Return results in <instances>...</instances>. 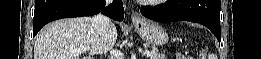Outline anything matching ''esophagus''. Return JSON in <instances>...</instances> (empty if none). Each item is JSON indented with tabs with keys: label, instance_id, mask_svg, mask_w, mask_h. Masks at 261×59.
Wrapping results in <instances>:
<instances>
[{
	"label": "esophagus",
	"instance_id": "obj_1",
	"mask_svg": "<svg viewBox=\"0 0 261 59\" xmlns=\"http://www.w3.org/2000/svg\"><path fill=\"white\" fill-rule=\"evenodd\" d=\"M131 20L134 24L140 23L143 21V17L141 16L140 13L133 11L131 13Z\"/></svg>",
	"mask_w": 261,
	"mask_h": 59
}]
</instances>
